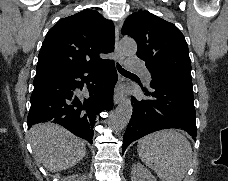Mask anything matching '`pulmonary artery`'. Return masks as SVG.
<instances>
[{
  "mask_svg": "<svg viewBox=\"0 0 228 181\" xmlns=\"http://www.w3.org/2000/svg\"><path fill=\"white\" fill-rule=\"evenodd\" d=\"M127 71H146V66H127Z\"/></svg>",
  "mask_w": 228,
  "mask_h": 181,
  "instance_id": "pulmonary-artery-1",
  "label": "pulmonary artery"
}]
</instances>
